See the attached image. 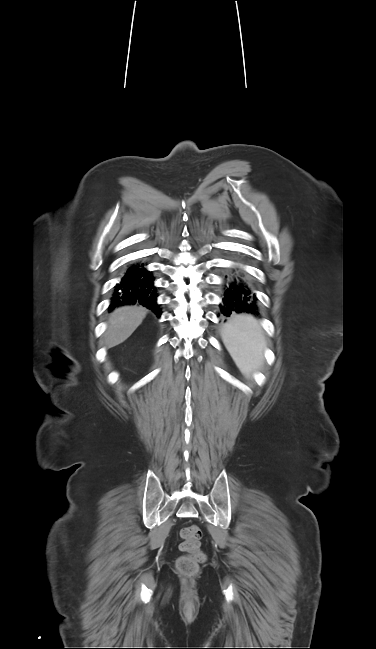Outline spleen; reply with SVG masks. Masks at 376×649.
Segmentation results:
<instances>
[{
    "label": "spleen",
    "mask_w": 376,
    "mask_h": 649,
    "mask_svg": "<svg viewBox=\"0 0 376 649\" xmlns=\"http://www.w3.org/2000/svg\"><path fill=\"white\" fill-rule=\"evenodd\" d=\"M225 346L238 368L246 376L263 360L266 345L259 322L247 314L234 315L222 328Z\"/></svg>",
    "instance_id": "spleen-1"
}]
</instances>
